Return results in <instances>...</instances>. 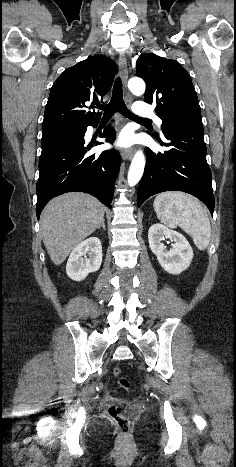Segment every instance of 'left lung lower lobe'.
<instances>
[{
    "label": "left lung lower lobe",
    "mask_w": 236,
    "mask_h": 467,
    "mask_svg": "<svg viewBox=\"0 0 236 467\" xmlns=\"http://www.w3.org/2000/svg\"><path fill=\"white\" fill-rule=\"evenodd\" d=\"M167 143L157 140L168 150L154 153L146 148L147 162L141 178L137 205L164 191H183L214 211L212 175L206 161L203 126L177 125L163 129Z\"/></svg>",
    "instance_id": "1"
}]
</instances>
